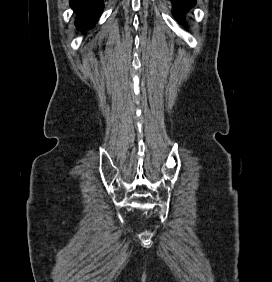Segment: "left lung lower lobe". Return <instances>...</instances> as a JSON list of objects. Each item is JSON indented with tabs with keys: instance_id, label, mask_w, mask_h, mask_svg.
Here are the masks:
<instances>
[{
	"instance_id": "obj_1",
	"label": "left lung lower lobe",
	"mask_w": 272,
	"mask_h": 282,
	"mask_svg": "<svg viewBox=\"0 0 272 282\" xmlns=\"http://www.w3.org/2000/svg\"><path fill=\"white\" fill-rule=\"evenodd\" d=\"M174 7H175V11H174V15L175 17H177V19H179L180 21H184L183 15L185 14V12L192 7L196 0H171Z\"/></svg>"
}]
</instances>
